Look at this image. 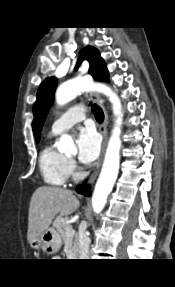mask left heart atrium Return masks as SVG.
Returning a JSON list of instances; mask_svg holds the SVG:
<instances>
[{
  "label": "left heart atrium",
  "instance_id": "obj_1",
  "mask_svg": "<svg viewBox=\"0 0 175 287\" xmlns=\"http://www.w3.org/2000/svg\"><path fill=\"white\" fill-rule=\"evenodd\" d=\"M78 158L83 164H90L97 159L100 152V138L90 127L80 131L77 137Z\"/></svg>",
  "mask_w": 175,
  "mask_h": 287
}]
</instances>
